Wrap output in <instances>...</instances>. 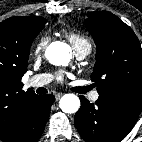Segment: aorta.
Here are the masks:
<instances>
[{
  "instance_id": "762f6f07",
  "label": "aorta",
  "mask_w": 142,
  "mask_h": 142,
  "mask_svg": "<svg viewBox=\"0 0 142 142\" xmlns=\"http://www.w3.org/2000/svg\"><path fill=\"white\" fill-rule=\"evenodd\" d=\"M46 57L53 65H66L71 59V48L63 42L52 43L46 51ZM64 113H76L80 108V100L74 94H65L59 102Z\"/></svg>"
}]
</instances>
